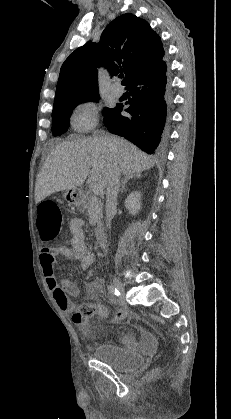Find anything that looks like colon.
Segmentation results:
<instances>
[{"label": "colon", "instance_id": "1", "mask_svg": "<svg viewBox=\"0 0 231 419\" xmlns=\"http://www.w3.org/2000/svg\"><path fill=\"white\" fill-rule=\"evenodd\" d=\"M38 223L41 238L44 241H53L57 238L63 226V217L58 204L52 200L43 201L38 208ZM80 319L90 318L95 314L107 316L105 309H99L92 303L82 304L78 307Z\"/></svg>", "mask_w": 231, "mask_h": 419}]
</instances>
